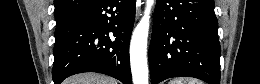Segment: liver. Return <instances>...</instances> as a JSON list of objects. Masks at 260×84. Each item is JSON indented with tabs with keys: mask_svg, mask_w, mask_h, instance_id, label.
<instances>
[{
	"mask_svg": "<svg viewBox=\"0 0 260 84\" xmlns=\"http://www.w3.org/2000/svg\"><path fill=\"white\" fill-rule=\"evenodd\" d=\"M65 84H117V81L97 73H81L68 78Z\"/></svg>",
	"mask_w": 260,
	"mask_h": 84,
	"instance_id": "6515ba94",
	"label": "liver"
}]
</instances>
